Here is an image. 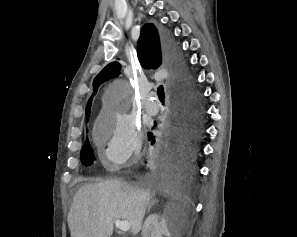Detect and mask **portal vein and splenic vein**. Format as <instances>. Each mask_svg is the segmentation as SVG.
<instances>
[{
	"instance_id": "1",
	"label": "portal vein and splenic vein",
	"mask_w": 297,
	"mask_h": 237,
	"mask_svg": "<svg viewBox=\"0 0 297 237\" xmlns=\"http://www.w3.org/2000/svg\"><path fill=\"white\" fill-rule=\"evenodd\" d=\"M115 226L123 232L130 230V223L126 220H115Z\"/></svg>"
}]
</instances>
